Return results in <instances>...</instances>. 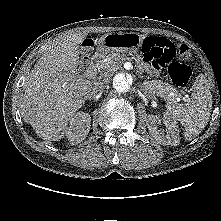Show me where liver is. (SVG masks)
Instances as JSON below:
<instances>
[{
  "mask_svg": "<svg viewBox=\"0 0 221 221\" xmlns=\"http://www.w3.org/2000/svg\"><path fill=\"white\" fill-rule=\"evenodd\" d=\"M86 35L78 31L54 39L24 84L21 114L43 139L63 138L69 120L89 98L92 82L79 75V45Z\"/></svg>",
  "mask_w": 221,
  "mask_h": 221,
  "instance_id": "1",
  "label": "liver"
}]
</instances>
